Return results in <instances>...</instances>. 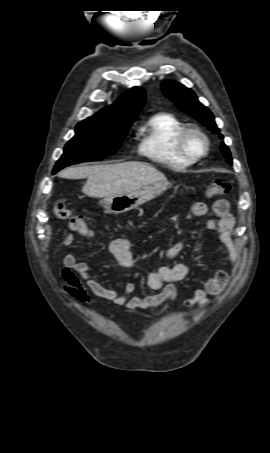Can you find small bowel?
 Here are the masks:
<instances>
[{"instance_id": "c3829d8e", "label": "small bowel", "mask_w": 270, "mask_h": 453, "mask_svg": "<svg viewBox=\"0 0 270 453\" xmlns=\"http://www.w3.org/2000/svg\"><path fill=\"white\" fill-rule=\"evenodd\" d=\"M207 212L208 206L204 202H196L192 206V214L195 217H202ZM212 212L215 218L207 222V228L217 236L226 248L228 262L234 266L239 259L240 247L231 236L234 218L230 212L228 201L225 199L216 200L213 203ZM75 242V237L70 233L63 238V244L67 247L74 246ZM184 247V240L176 242L165 250V258L168 260L175 259ZM110 251L121 266L129 268L133 265V256L128 239L123 237L113 239L110 243ZM61 275L64 279V291L81 305L91 302L90 291L100 298L111 300L116 306L123 307L126 310H148L162 304L169 305L175 301L177 290L173 284L187 280L190 276V267L184 263H177L172 266H161L150 271L145 277V282L150 289L157 292L141 296H131L137 288L134 282L126 283L122 291L101 284L90 274L88 264L71 253L64 256V267L61 270ZM229 280L230 273L223 268L207 274L202 285L197 287L192 296L182 303V308L206 307L210 303L208 295L222 293Z\"/></svg>"}]
</instances>
